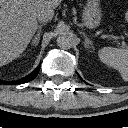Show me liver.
I'll return each instance as SVG.
<instances>
[{
	"label": "liver",
	"mask_w": 128,
	"mask_h": 128,
	"mask_svg": "<svg viewBox=\"0 0 128 128\" xmlns=\"http://www.w3.org/2000/svg\"><path fill=\"white\" fill-rule=\"evenodd\" d=\"M62 0H0V67L16 59L38 28L37 15L54 10Z\"/></svg>",
	"instance_id": "liver-1"
}]
</instances>
